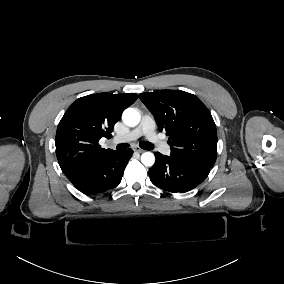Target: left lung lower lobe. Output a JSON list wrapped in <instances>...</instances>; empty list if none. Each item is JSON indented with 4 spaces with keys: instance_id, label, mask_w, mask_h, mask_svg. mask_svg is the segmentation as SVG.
I'll use <instances>...</instances> for the list:
<instances>
[{
    "instance_id": "obj_1",
    "label": "left lung lower lobe",
    "mask_w": 284,
    "mask_h": 284,
    "mask_svg": "<svg viewBox=\"0 0 284 284\" xmlns=\"http://www.w3.org/2000/svg\"><path fill=\"white\" fill-rule=\"evenodd\" d=\"M155 164L149 169L151 182L169 192H188L198 186L208 176L210 168L159 152Z\"/></svg>"
}]
</instances>
